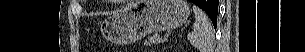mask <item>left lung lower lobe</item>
<instances>
[{"mask_svg":"<svg viewBox=\"0 0 305 52\" xmlns=\"http://www.w3.org/2000/svg\"><path fill=\"white\" fill-rule=\"evenodd\" d=\"M192 3L198 5L207 14L209 11H218V0H190ZM217 22V21H216ZM216 22H213L214 27H216Z\"/></svg>","mask_w":305,"mask_h":52,"instance_id":"1","label":"left lung lower lobe"}]
</instances>
